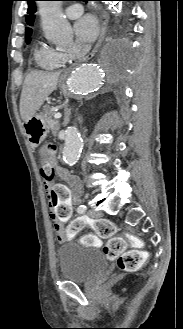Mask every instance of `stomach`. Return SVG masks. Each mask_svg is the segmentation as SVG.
Segmentation results:
<instances>
[{
  "label": "stomach",
  "mask_w": 183,
  "mask_h": 329,
  "mask_svg": "<svg viewBox=\"0 0 183 329\" xmlns=\"http://www.w3.org/2000/svg\"><path fill=\"white\" fill-rule=\"evenodd\" d=\"M23 128L30 146L38 147L48 133L46 116L43 113L34 114L30 119L24 121Z\"/></svg>",
  "instance_id": "stomach-1"
}]
</instances>
